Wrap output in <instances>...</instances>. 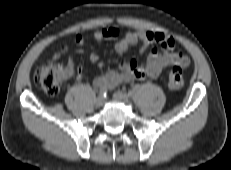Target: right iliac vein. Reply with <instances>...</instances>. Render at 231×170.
<instances>
[{
	"label": "right iliac vein",
	"instance_id": "obj_1",
	"mask_svg": "<svg viewBox=\"0 0 231 170\" xmlns=\"http://www.w3.org/2000/svg\"><path fill=\"white\" fill-rule=\"evenodd\" d=\"M105 100L102 96L97 97L95 104L97 107H102L104 104Z\"/></svg>",
	"mask_w": 231,
	"mask_h": 170
}]
</instances>
